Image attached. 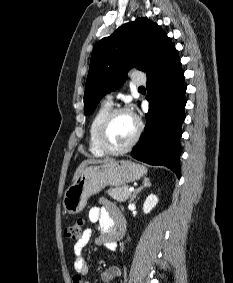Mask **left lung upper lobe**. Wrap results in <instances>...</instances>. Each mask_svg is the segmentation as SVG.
Returning a JSON list of instances; mask_svg holds the SVG:
<instances>
[{"label": "left lung upper lobe", "instance_id": "left-lung-upper-lobe-1", "mask_svg": "<svg viewBox=\"0 0 233 283\" xmlns=\"http://www.w3.org/2000/svg\"><path fill=\"white\" fill-rule=\"evenodd\" d=\"M173 46L159 25L146 18L126 23L101 39L91 55L84 114L90 115L106 93L124 82L126 71L137 64L149 73Z\"/></svg>", "mask_w": 233, "mask_h": 283}]
</instances>
